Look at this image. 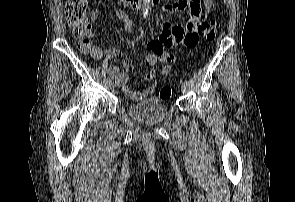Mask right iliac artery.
I'll return each mask as SVG.
<instances>
[{"label":"right iliac artery","mask_w":295,"mask_h":202,"mask_svg":"<svg viewBox=\"0 0 295 202\" xmlns=\"http://www.w3.org/2000/svg\"><path fill=\"white\" fill-rule=\"evenodd\" d=\"M107 81H108V82H111V79H110V78H108V79H107Z\"/></svg>","instance_id":"82829eb1"}]
</instances>
